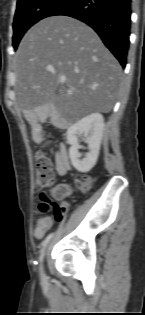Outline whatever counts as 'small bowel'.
<instances>
[{"mask_svg":"<svg viewBox=\"0 0 145 315\" xmlns=\"http://www.w3.org/2000/svg\"><path fill=\"white\" fill-rule=\"evenodd\" d=\"M34 139L39 141L40 138L38 136L37 128L34 129ZM55 169L57 173L61 176H64L70 170V166L67 158V151L64 145H60L59 148L55 152ZM52 195L57 200H62L68 195L71 194V188L69 185L60 184L53 188ZM42 218H50L49 216H42L34 229V236L36 238H41L45 235V233L51 228L52 223H42ZM57 219H61L60 216Z\"/></svg>","mask_w":145,"mask_h":315,"instance_id":"obj_1","label":"small bowel"}]
</instances>
